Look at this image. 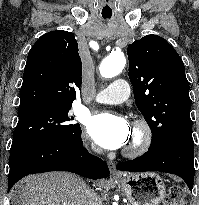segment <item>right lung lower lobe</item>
<instances>
[{
    "label": "right lung lower lobe",
    "mask_w": 199,
    "mask_h": 205,
    "mask_svg": "<svg viewBox=\"0 0 199 205\" xmlns=\"http://www.w3.org/2000/svg\"><path fill=\"white\" fill-rule=\"evenodd\" d=\"M49 171H68L94 180L110 174L107 164L83 147L81 137L55 139L10 153L8 192L24 176Z\"/></svg>",
    "instance_id": "1"
}]
</instances>
